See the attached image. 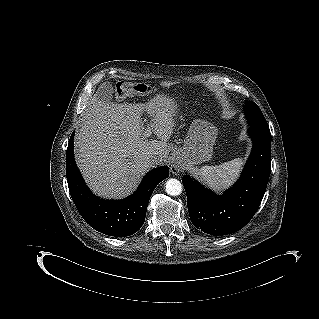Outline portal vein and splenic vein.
Here are the masks:
<instances>
[{"mask_svg":"<svg viewBox=\"0 0 319 319\" xmlns=\"http://www.w3.org/2000/svg\"><path fill=\"white\" fill-rule=\"evenodd\" d=\"M151 130H152L151 127H148V128L145 130L144 135H145V136H150L151 133H152Z\"/></svg>","mask_w":319,"mask_h":319,"instance_id":"portal-vein-and-splenic-vein-1","label":"portal vein and splenic vein"}]
</instances>
